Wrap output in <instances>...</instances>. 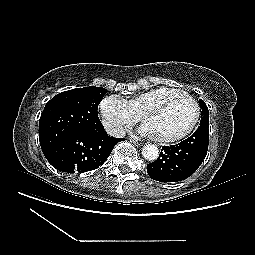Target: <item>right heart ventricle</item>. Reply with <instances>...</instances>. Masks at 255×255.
I'll return each instance as SVG.
<instances>
[{
    "mask_svg": "<svg viewBox=\"0 0 255 255\" xmlns=\"http://www.w3.org/2000/svg\"><path fill=\"white\" fill-rule=\"evenodd\" d=\"M175 88L170 87H157L153 89H149L147 91L141 92L134 96L133 98L126 100L130 107L133 109L135 113H137L139 116H141L142 112L154 101H156L158 98L164 96L165 94H168L170 92H173Z\"/></svg>",
    "mask_w": 255,
    "mask_h": 255,
    "instance_id": "1",
    "label": "right heart ventricle"
}]
</instances>
